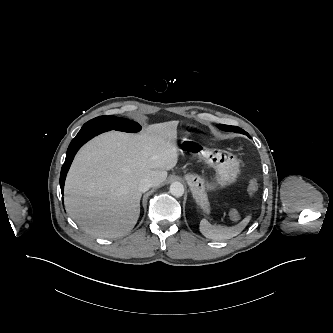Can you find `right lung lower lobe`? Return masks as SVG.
<instances>
[{"instance_id":"98d812e1","label":"right lung lower lobe","mask_w":333,"mask_h":333,"mask_svg":"<svg viewBox=\"0 0 333 333\" xmlns=\"http://www.w3.org/2000/svg\"><path fill=\"white\" fill-rule=\"evenodd\" d=\"M110 130L109 128H86V129H81L79 133L76 135V137L72 140L70 143L67 154H66V159L65 162L62 166L61 169V175H60V187L61 191L63 194V187H64V181L66 178V174L69 170V167L71 165V162L74 158V155L76 152L79 150V148L88 140L93 138L94 136Z\"/></svg>"}]
</instances>
